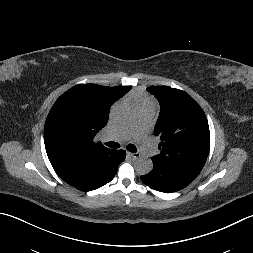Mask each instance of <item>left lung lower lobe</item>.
Instances as JSON below:
<instances>
[{
    "label": "left lung lower lobe",
    "mask_w": 253,
    "mask_h": 253,
    "mask_svg": "<svg viewBox=\"0 0 253 253\" xmlns=\"http://www.w3.org/2000/svg\"><path fill=\"white\" fill-rule=\"evenodd\" d=\"M153 170L148 175L141 176V180L154 190L160 192H175L185 188L197 176L154 163Z\"/></svg>",
    "instance_id": "left-lung-lower-lobe-1"
}]
</instances>
